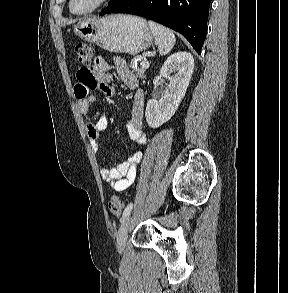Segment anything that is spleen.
I'll return each mask as SVG.
<instances>
[{"mask_svg": "<svg viewBox=\"0 0 288 293\" xmlns=\"http://www.w3.org/2000/svg\"><path fill=\"white\" fill-rule=\"evenodd\" d=\"M148 25L155 37L160 55L168 54L174 47L176 41L174 33L170 29L153 21H149Z\"/></svg>", "mask_w": 288, "mask_h": 293, "instance_id": "spleen-1", "label": "spleen"}]
</instances>
